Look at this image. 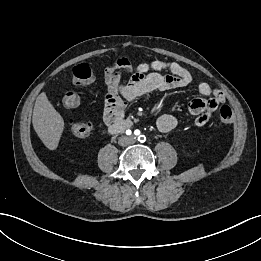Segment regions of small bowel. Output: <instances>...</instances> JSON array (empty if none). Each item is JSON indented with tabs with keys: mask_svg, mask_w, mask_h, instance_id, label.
<instances>
[{
	"mask_svg": "<svg viewBox=\"0 0 261 261\" xmlns=\"http://www.w3.org/2000/svg\"><path fill=\"white\" fill-rule=\"evenodd\" d=\"M129 69V66L117 61L104 72L106 88L104 120L109 127L123 120L128 103L153 91L173 90L193 84L191 73L174 61L154 60L141 63L130 79L123 83V76ZM165 71L168 73H164ZM196 89L200 97L194 98L189 103V111L195 116L191 127L204 126L215 109L225 101L224 93L212 88L206 82L197 83ZM177 125V118L170 114H163L156 120V127L161 132H169Z\"/></svg>",
	"mask_w": 261,
	"mask_h": 261,
	"instance_id": "c3829d8e",
	"label": "small bowel"
}]
</instances>
